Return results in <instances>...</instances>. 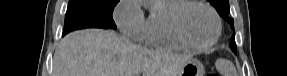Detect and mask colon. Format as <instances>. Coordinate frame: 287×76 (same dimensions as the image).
Returning <instances> with one entry per match:
<instances>
[{
    "label": "colon",
    "instance_id": "colon-1",
    "mask_svg": "<svg viewBox=\"0 0 287 76\" xmlns=\"http://www.w3.org/2000/svg\"><path fill=\"white\" fill-rule=\"evenodd\" d=\"M208 76H213V74H210V75H208Z\"/></svg>",
    "mask_w": 287,
    "mask_h": 76
}]
</instances>
